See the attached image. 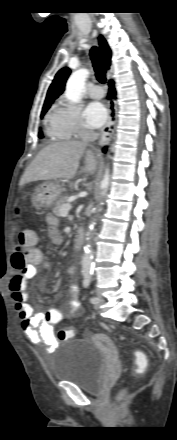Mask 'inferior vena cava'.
I'll return each mask as SVG.
<instances>
[{
	"label": "inferior vena cava",
	"mask_w": 177,
	"mask_h": 440,
	"mask_svg": "<svg viewBox=\"0 0 177 440\" xmlns=\"http://www.w3.org/2000/svg\"><path fill=\"white\" fill-rule=\"evenodd\" d=\"M98 136L99 134L94 131L85 130L82 134V139L84 142L95 141Z\"/></svg>",
	"instance_id": "1"
}]
</instances>
